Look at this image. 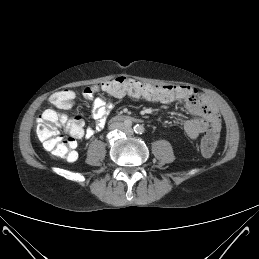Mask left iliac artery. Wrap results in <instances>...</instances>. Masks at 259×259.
Here are the masks:
<instances>
[{"instance_id":"1","label":"left iliac artery","mask_w":259,"mask_h":259,"mask_svg":"<svg viewBox=\"0 0 259 259\" xmlns=\"http://www.w3.org/2000/svg\"><path fill=\"white\" fill-rule=\"evenodd\" d=\"M134 131L137 134H143L145 132V128L142 125L137 124L134 126Z\"/></svg>"}]
</instances>
